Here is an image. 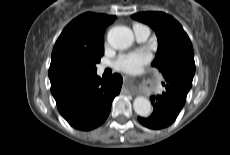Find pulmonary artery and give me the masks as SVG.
I'll list each match as a JSON object with an SVG mask.
<instances>
[{
	"label": "pulmonary artery",
	"mask_w": 230,
	"mask_h": 155,
	"mask_svg": "<svg viewBox=\"0 0 230 155\" xmlns=\"http://www.w3.org/2000/svg\"><path fill=\"white\" fill-rule=\"evenodd\" d=\"M134 33H135L136 39L139 42H143L148 38V36L150 34V30L148 27L145 26V27H140V28L135 29ZM103 70H104L103 67L99 68V72H102Z\"/></svg>",
	"instance_id": "pulmonary-artery-1"
}]
</instances>
